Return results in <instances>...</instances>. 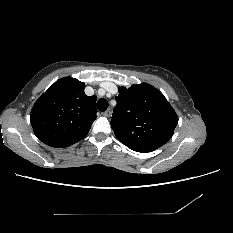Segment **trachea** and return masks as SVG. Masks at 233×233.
Segmentation results:
<instances>
[{"mask_svg":"<svg viewBox=\"0 0 233 233\" xmlns=\"http://www.w3.org/2000/svg\"><path fill=\"white\" fill-rule=\"evenodd\" d=\"M97 108L101 112L106 111L108 108V101L106 99H99L97 101Z\"/></svg>","mask_w":233,"mask_h":233,"instance_id":"trachea-1","label":"trachea"}]
</instances>
